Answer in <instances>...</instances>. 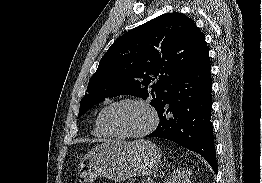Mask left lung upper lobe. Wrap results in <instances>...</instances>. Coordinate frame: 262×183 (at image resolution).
<instances>
[{
  "instance_id": "1",
  "label": "left lung upper lobe",
  "mask_w": 262,
  "mask_h": 183,
  "mask_svg": "<svg viewBox=\"0 0 262 183\" xmlns=\"http://www.w3.org/2000/svg\"><path fill=\"white\" fill-rule=\"evenodd\" d=\"M205 48L204 34L181 13L163 14L132 29L101 58L80 102L78 117L118 95L150 98L158 110L175 78Z\"/></svg>"
}]
</instances>
